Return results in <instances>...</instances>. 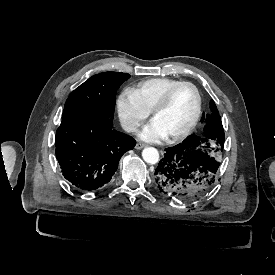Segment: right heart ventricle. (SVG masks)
<instances>
[{"mask_svg":"<svg viewBox=\"0 0 275 275\" xmlns=\"http://www.w3.org/2000/svg\"><path fill=\"white\" fill-rule=\"evenodd\" d=\"M176 82L178 81L167 77L150 78L138 83L134 92L141 103L152 111L166 89Z\"/></svg>","mask_w":275,"mask_h":275,"instance_id":"e07e8e85","label":"right heart ventricle"}]
</instances>
